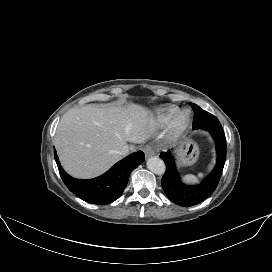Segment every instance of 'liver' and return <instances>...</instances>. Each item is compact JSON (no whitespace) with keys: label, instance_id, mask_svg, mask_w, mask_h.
<instances>
[{"label":"liver","instance_id":"1","mask_svg":"<svg viewBox=\"0 0 272 272\" xmlns=\"http://www.w3.org/2000/svg\"><path fill=\"white\" fill-rule=\"evenodd\" d=\"M154 133L151 113L141 105H87L62 116L54 144L64 169L73 177L88 179L118 162L127 143H143Z\"/></svg>","mask_w":272,"mask_h":272}]
</instances>
